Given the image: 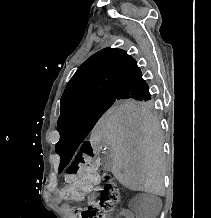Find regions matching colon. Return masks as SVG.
<instances>
[{
  "mask_svg": "<svg viewBox=\"0 0 211 218\" xmlns=\"http://www.w3.org/2000/svg\"><path fill=\"white\" fill-rule=\"evenodd\" d=\"M100 159L95 154L93 145L86 141L81 145L64 176L62 196L67 200H81L93 192L102 177ZM106 179L108 177L104 175ZM119 201L117 185L108 180L101 189L99 198L78 209L76 218H107Z\"/></svg>",
  "mask_w": 211,
  "mask_h": 218,
  "instance_id": "1",
  "label": "colon"
}]
</instances>
